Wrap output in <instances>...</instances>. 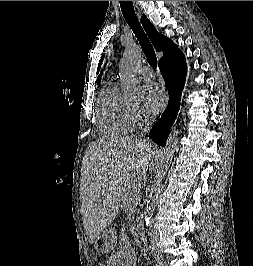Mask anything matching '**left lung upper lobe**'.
Returning <instances> with one entry per match:
<instances>
[{
  "mask_svg": "<svg viewBox=\"0 0 253 266\" xmlns=\"http://www.w3.org/2000/svg\"><path fill=\"white\" fill-rule=\"evenodd\" d=\"M100 65H101V62L99 63V68H98V70L100 69Z\"/></svg>",
  "mask_w": 253,
  "mask_h": 266,
  "instance_id": "1",
  "label": "left lung upper lobe"
}]
</instances>
